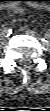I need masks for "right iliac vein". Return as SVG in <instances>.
Returning <instances> with one entry per match:
<instances>
[{
    "mask_svg": "<svg viewBox=\"0 0 50 111\" xmlns=\"http://www.w3.org/2000/svg\"><path fill=\"white\" fill-rule=\"evenodd\" d=\"M7 39H8V37H7V36L2 35V41H6Z\"/></svg>",
    "mask_w": 50,
    "mask_h": 111,
    "instance_id": "1",
    "label": "right iliac vein"
}]
</instances>
